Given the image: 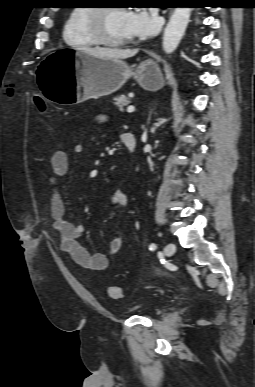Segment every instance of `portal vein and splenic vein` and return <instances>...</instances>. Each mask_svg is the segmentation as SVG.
Instances as JSON below:
<instances>
[{"label": "portal vein and splenic vein", "mask_w": 255, "mask_h": 387, "mask_svg": "<svg viewBox=\"0 0 255 387\" xmlns=\"http://www.w3.org/2000/svg\"><path fill=\"white\" fill-rule=\"evenodd\" d=\"M135 111V107L133 106V105H131V106H129L128 108H127V112L128 113H132V112H134Z\"/></svg>", "instance_id": "portal-vein-and-splenic-vein-1"}]
</instances>
